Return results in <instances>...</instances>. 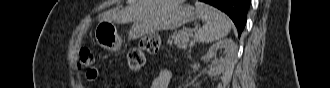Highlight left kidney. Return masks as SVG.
Here are the masks:
<instances>
[{
  "instance_id": "5707ae66",
  "label": "left kidney",
  "mask_w": 330,
  "mask_h": 88,
  "mask_svg": "<svg viewBox=\"0 0 330 88\" xmlns=\"http://www.w3.org/2000/svg\"><path fill=\"white\" fill-rule=\"evenodd\" d=\"M219 49H224L225 56L220 58L218 61H214L216 65L208 70L207 74L209 76H218L222 74L224 71L228 70L234 63L237 46L232 39H222L212 45L204 56V59H213L216 56L217 50Z\"/></svg>"
}]
</instances>
